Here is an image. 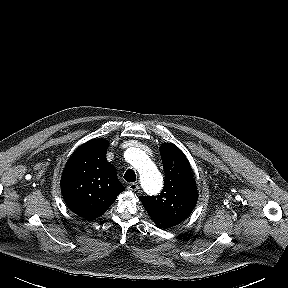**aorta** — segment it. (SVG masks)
<instances>
[{"mask_svg":"<svg viewBox=\"0 0 288 288\" xmlns=\"http://www.w3.org/2000/svg\"><path fill=\"white\" fill-rule=\"evenodd\" d=\"M129 162L137 169L144 189L149 193H157L162 187V177L148 156L138 148L129 150Z\"/></svg>","mask_w":288,"mask_h":288,"instance_id":"aorta-1","label":"aorta"}]
</instances>
